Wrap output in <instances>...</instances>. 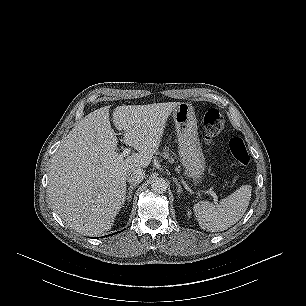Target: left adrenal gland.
<instances>
[{
	"instance_id": "1",
	"label": "left adrenal gland",
	"mask_w": 306,
	"mask_h": 306,
	"mask_svg": "<svg viewBox=\"0 0 306 306\" xmlns=\"http://www.w3.org/2000/svg\"><path fill=\"white\" fill-rule=\"evenodd\" d=\"M173 181L175 182L176 186L178 187L177 192H178L179 194H181V193H182V187H181V185L179 184L178 180H177L176 178H173Z\"/></svg>"
}]
</instances>
